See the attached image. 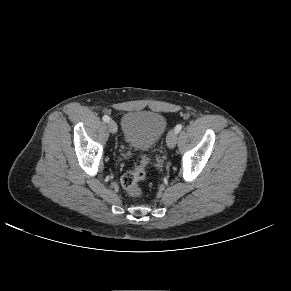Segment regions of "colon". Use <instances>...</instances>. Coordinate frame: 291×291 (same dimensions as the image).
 <instances>
[{"instance_id":"colon-1","label":"colon","mask_w":291,"mask_h":291,"mask_svg":"<svg viewBox=\"0 0 291 291\" xmlns=\"http://www.w3.org/2000/svg\"><path fill=\"white\" fill-rule=\"evenodd\" d=\"M150 162L148 155H143L140 163L121 177L123 189L132 197H140L143 193L141 182L146 177V168Z\"/></svg>"}]
</instances>
